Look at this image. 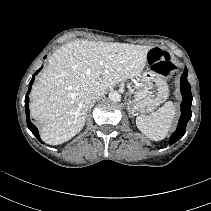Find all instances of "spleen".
<instances>
[{
  "label": "spleen",
  "mask_w": 211,
  "mask_h": 211,
  "mask_svg": "<svg viewBox=\"0 0 211 211\" xmlns=\"http://www.w3.org/2000/svg\"><path fill=\"white\" fill-rule=\"evenodd\" d=\"M174 116L175 107L173 103L169 101L150 115L138 116L136 118V125L149 139L159 141L167 136Z\"/></svg>",
  "instance_id": "spleen-1"
}]
</instances>
